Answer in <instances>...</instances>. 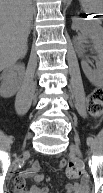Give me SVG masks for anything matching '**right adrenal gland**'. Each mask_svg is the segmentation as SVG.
I'll return each mask as SVG.
<instances>
[{"instance_id": "obj_1", "label": "right adrenal gland", "mask_w": 103, "mask_h": 193, "mask_svg": "<svg viewBox=\"0 0 103 193\" xmlns=\"http://www.w3.org/2000/svg\"><path fill=\"white\" fill-rule=\"evenodd\" d=\"M32 27H33V25L31 24V25H30V28L32 29Z\"/></svg>"}]
</instances>
